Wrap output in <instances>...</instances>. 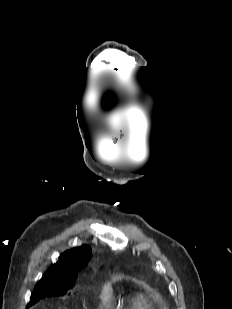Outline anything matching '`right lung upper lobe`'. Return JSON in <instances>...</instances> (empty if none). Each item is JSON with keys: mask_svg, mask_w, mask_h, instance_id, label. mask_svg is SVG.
<instances>
[{"mask_svg": "<svg viewBox=\"0 0 232 309\" xmlns=\"http://www.w3.org/2000/svg\"><path fill=\"white\" fill-rule=\"evenodd\" d=\"M92 250L89 245H82L65 251L60 255L56 264L52 265L41 278V282L74 281L76 272L81 270L90 261ZM39 281V282H40Z\"/></svg>", "mask_w": 232, "mask_h": 309, "instance_id": "1", "label": "right lung upper lobe"}]
</instances>
